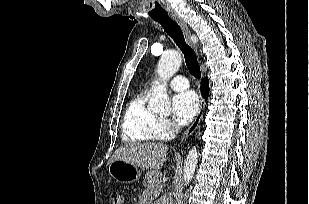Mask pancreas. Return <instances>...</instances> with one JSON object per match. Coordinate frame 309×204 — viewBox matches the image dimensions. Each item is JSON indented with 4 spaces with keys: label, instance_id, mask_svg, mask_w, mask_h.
Returning <instances> with one entry per match:
<instances>
[{
    "label": "pancreas",
    "instance_id": "pancreas-1",
    "mask_svg": "<svg viewBox=\"0 0 309 204\" xmlns=\"http://www.w3.org/2000/svg\"><path fill=\"white\" fill-rule=\"evenodd\" d=\"M143 185L150 191L152 198L162 191L161 174L157 170H149L145 174Z\"/></svg>",
    "mask_w": 309,
    "mask_h": 204
}]
</instances>
